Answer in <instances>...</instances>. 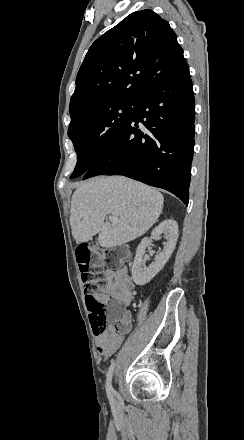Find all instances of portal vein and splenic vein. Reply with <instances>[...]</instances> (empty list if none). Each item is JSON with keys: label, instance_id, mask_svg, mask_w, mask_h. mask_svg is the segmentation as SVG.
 <instances>
[{"label": "portal vein and splenic vein", "instance_id": "1", "mask_svg": "<svg viewBox=\"0 0 244 440\" xmlns=\"http://www.w3.org/2000/svg\"><path fill=\"white\" fill-rule=\"evenodd\" d=\"M109 220L112 222V226H117V224H119L117 216H109Z\"/></svg>", "mask_w": 244, "mask_h": 440}]
</instances>
